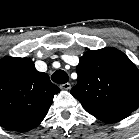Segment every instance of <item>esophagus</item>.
<instances>
[{"mask_svg":"<svg viewBox=\"0 0 139 139\" xmlns=\"http://www.w3.org/2000/svg\"><path fill=\"white\" fill-rule=\"evenodd\" d=\"M60 88L62 90H69L71 88V85H70V83H64V84L60 85Z\"/></svg>","mask_w":139,"mask_h":139,"instance_id":"34e87169","label":"esophagus"}]
</instances>
